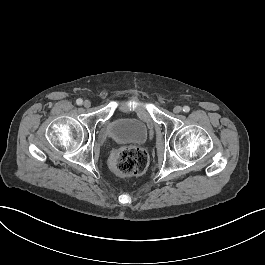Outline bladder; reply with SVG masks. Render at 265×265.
I'll return each instance as SVG.
<instances>
[{
    "instance_id": "bladder-1",
    "label": "bladder",
    "mask_w": 265,
    "mask_h": 265,
    "mask_svg": "<svg viewBox=\"0 0 265 265\" xmlns=\"http://www.w3.org/2000/svg\"><path fill=\"white\" fill-rule=\"evenodd\" d=\"M107 134L117 142L143 143L148 137V128L136 118H117L108 124Z\"/></svg>"
}]
</instances>
